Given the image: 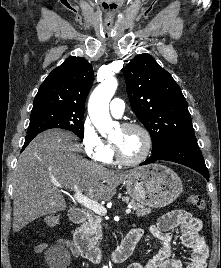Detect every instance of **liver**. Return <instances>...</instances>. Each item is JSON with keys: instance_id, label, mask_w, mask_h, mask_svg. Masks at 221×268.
Here are the masks:
<instances>
[{"instance_id": "1", "label": "liver", "mask_w": 221, "mask_h": 268, "mask_svg": "<svg viewBox=\"0 0 221 268\" xmlns=\"http://www.w3.org/2000/svg\"><path fill=\"white\" fill-rule=\"evenodd\" d=\"M75 136L62 130L39 134L20 155L13 183V232L48 214L66 209L57 184L85 191L95 201L109 200L135 170L117 172L88 161L76 152Z\"/></svg>"}]
</instances>
